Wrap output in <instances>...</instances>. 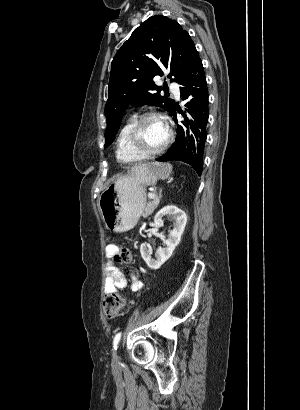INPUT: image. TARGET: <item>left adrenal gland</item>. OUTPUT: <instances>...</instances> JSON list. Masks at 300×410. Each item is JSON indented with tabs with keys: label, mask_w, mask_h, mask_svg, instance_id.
<instances>
[{
	"label": "left adrenal gland",
	"mask_w": 300,
	"mask_h": 410,
	"mask_svg": "<svg viewBox=\"0 0 300 410\" xmlns=\"http://www.w3.org/2000/svg\"><path fill=\"white\" fill-rule=\"evenodd\" d=\"M160 193H161V190L159 191V198H161V194H160Z\"/></svg>",
	"instance_id": "left-adrenal-gland-1"
}]
</instances>
